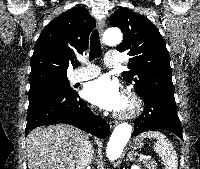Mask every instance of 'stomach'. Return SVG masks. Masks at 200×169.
Listing matches in <instances>:
<instances>
[{"mask_svg": "<svg viewBox=\"0 0 200 169\" xmlns=\"http://www.w3.org/2000/svg\"><path fill=\"white\" fill-rule=\"evenodd\" d=\"M143 145L144 144H143L142 140L138 138V139L135 140L134 148L135 149H141Z\"/></svg>", "mask_w": 200, "mask_h": 169, "instance_id": "stomach-1", "label": "stomach"}]
</instances>
